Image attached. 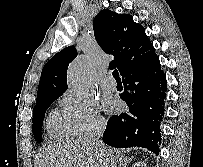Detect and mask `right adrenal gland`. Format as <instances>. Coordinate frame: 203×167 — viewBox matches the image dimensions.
I'll return each mask as SVG.
<instances>
[{
	"label": "right adrenal gland",
	"instance_id": "obj_1",
	"mask_svg": "<svg viewBox=\"0 0 203 167\" xmlns=\"http://www.w3.org/2000/svg\"><path fill=\"white\" fill-rule=\"evenodd\" d=\"M129 162H131V160L125 159V160H124V163L122 164L121 167H126V166H127V163H129Z\"/></svg>",
	"mask_w": 203,
	"mask_h": 167
}]
</instances>
